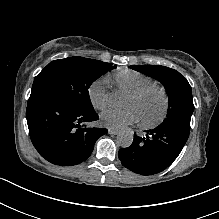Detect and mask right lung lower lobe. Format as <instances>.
<instances>
[{
  "label": "right lung lower lobe",
  "instance_id": "1",
  "mask_svg": "<svg viewBox=\"0 0 219 219\" xmlns=\"http://www.w3.org/2000/svg\"><path fill=\"white\" fill-rule=\"evenodd\" d=\"M26 118L37 151L59 166L85 161L96 140L107 133V129L84 125L99 119L94 109H77L67 101L47 94L30 95Z\"/></svg>",
  "mask_w": 219,
  "mask_h": 219
}]
</instances>
